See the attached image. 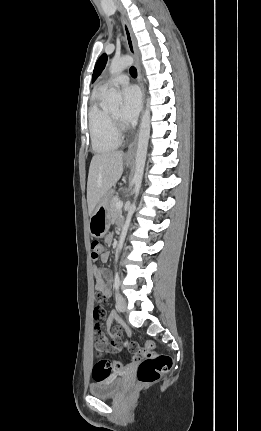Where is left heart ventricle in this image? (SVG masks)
<instances>
[{
    "mask_svg": "<svg viewBox=\"0 0 261 431\" xmlns=\"http://www.w3.org/2000/svg\"><path fill=\"white\" fill-rule=\"evenodd\" d=\"M111 114L115 117V118H119L120 116V110L119 109H115L111 112Z\"/></svg>",
    "mask_w": 261,
    "mask_h": 431,
    "instance_id": "b2bd125f",
    "label": "left heart ventricle"
}]
</instances>
